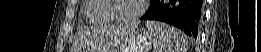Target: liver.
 I'll return each instance as SVG.
<instances>
[{
	"label": "liver",
	"instance_id": "1",
	"mask_svg": "<svg viewBox=\"0 0 261 52\" xmlns=\"http://www.w3.org/2000/svg\"><path fill=\"white\" fill-rule=\"evenodd\" d=\"M131 28H129L128 30H126L127 32H130ZM119 35V31L116 30H108V31H104L102 33V38H101V48L102 49H109V48H113L116 40L118 38Z\"/></svg>",
	"mask_w": 261,
	"mask_h": 52
}]
</instances>
